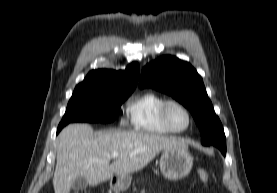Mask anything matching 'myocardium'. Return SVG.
Returning a JSON list of instances; mask_svg holds the SVG:
<instances>
[{"label": "myocardium", "mask_w": 277, "mask_h": 193, "mask_svg": "<svg viewBox=\"0 0 277 193\" xmlns=\"http://www.w3.org/2000/svg\"><path fill=\"white\" fill-rule=\"evenodd\" d=\"M171 105L179 106L186 113V115L188 117V124L184 129H175L170 124L169 119H168V109ZM160 120H161V123L164 126V128L169 133H175V134L185 133L186 131H188L190 129V127L192 126V123H193V117H192V114H191L189 108L184 103H182L178 100H174V99L166 100L163 103L161 110H160Z\"/></svg>", "instance_id": "myocardium-1"}]
</instances>
